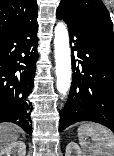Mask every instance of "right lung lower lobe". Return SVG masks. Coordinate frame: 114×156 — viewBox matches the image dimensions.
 <instances>
[{
  "mask_svg": "<svg viewBox=\"0 0 114 156\" xmlns=\"http://www.w3.org/2000/svg\"><path fill=\"white\" fill-rule=\"evenodd\" d=\"M36 18L0 35V122H13L32 134L28 100L37 52Z\"/></svg>",
  "mask_w": 114,
  "mask_h": 156,
  "instance_id": "98d812e1",
  "label": "right lung lower lobe"
}]
</instances>
